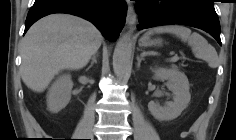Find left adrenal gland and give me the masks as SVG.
Returning <instances> with one entry per match:
<instances>
[{"mask_svg": "<svg viewBox=\"0 0 236 140\" xmlns=\"http://www.w3.org/2000/svg\"><path fill=\"white\" fill-rule=\"evenodd\" d=\"M144 60V56L137 57V67H140L141 61Z\"/></svg>", "mask_w": 236, "mask_h": 140, "instance_id": "left-adrenal-gland-1", "label": "left adrenal gland"}]
</instances>
